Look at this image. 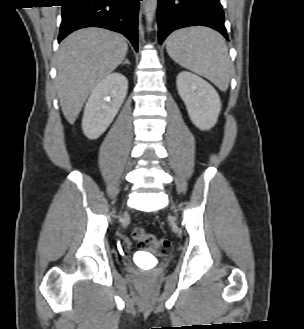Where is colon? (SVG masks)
I'll return each mask as SVG.
<instances>
[{
  "label": "colon",
  "mask_w": 304,
  "mask_h": 329,
  "mask_svg": "<svg viewBox=\"0 0 304 329\" xmlns=\"http://www.w3.org/2000/svg\"><path fill=\"white\" fill-rule=\"evenodd\" d=\"M132 238L141 248L159 257L168 256L172 251V243L169 239L157 237L140 226L132 230Z\"/></svg>",
  "instance_id": "colon-1"
}]
</instances>
